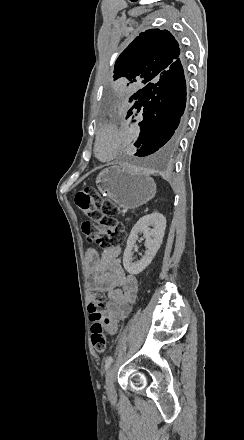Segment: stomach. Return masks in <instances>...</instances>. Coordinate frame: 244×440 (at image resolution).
Here are the masks:
<instances>
[{
  "instance_id": "stomach-1",
  "label": "stomach",
  "mask_w": 244,
  "mask_h": 440,
  "mask_svg": "<svg viewBox=\"0 0 244 440\" xmlns=\"http://www.w3.org/2000/svg\"><path fill=\"white\" fill-rule=\"evenodd\" d=\"M96 186L112 202L124 210H134L150 202L156 194V184L148 172L143 170H122L111 166L99 172Z\"/></svg>"
}]
</instances>
